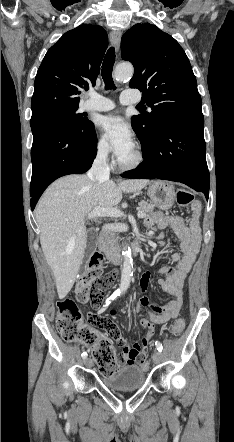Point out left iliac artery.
<instances>
[{
	"label": "left iliac artery",
	"instance_id": "44dca946",
	"mask_svg": "<svg viewBox=\"0 0 234 442\" xmlns=\"http://www.w3.org/2000/svg\"><path fill=\"white\" fill-rule=\"evenodd\" d=\"M155 345H156V349H157L159 352H161V351H162V344H161L159 341H156Z\"/></svg>",
	"mask_w": 234,
	"mask_h": 442
}]
</instances>
